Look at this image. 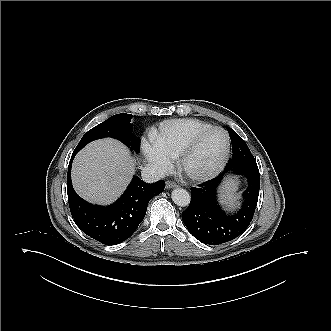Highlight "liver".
Returning a JSON list of instances; mask_svg holds the SVG:
<instances>
[{"mask_svg":"<svg viewBox=\"0 0 331 331\" xmlns=\"http://www.w3.org/2000/svg\"><path fill=\"white\" fill-rule=\"evenodd\" d=\"M135 172V160L119 141L105 138L91 142L75 157L72 184L85 200L109 204L129 184Z\"/></svg>","mask_w":331,"mask_h":331,"instance_id":"1","label":"liver"}]
</instances>
